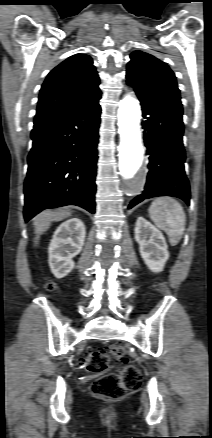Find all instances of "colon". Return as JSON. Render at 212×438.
<instances>
[{
	"instance_id": "1",
	"label": "colon",
	"mask_w": 212,
	"mask_h": 438,
	"mask_svg": "<svg viewBox=\"0 0 212 438\" xmlns=\"http://www.w3.org/2000/svg\"><path fill=\"white\" fill-rule=\"evenodd\" d=\"M45 287L53 289L51 283ZM111 360L121 361L125 365L117 373H106L94 380L91 384V392L97 396L117 399L127 392L136 390L141 384V373L133 365L128 364L124 348L118 343H112L103 348L91 350L87 356L80 360L79 365L90 372L100 373L108 368Z\"/></svg>"
}]
</instances>
